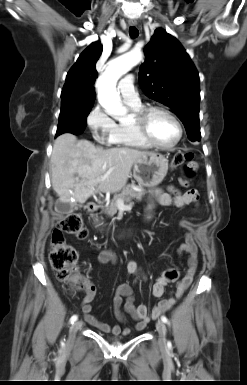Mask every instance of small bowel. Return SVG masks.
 <instances>
[{"mask_svg": "<svg viewBox=\"0 0 247 385\" xmlns=\"http://www.w3.org/2000/svg\"><path fill=\"white\" fill-rule=\"evenodd\" d=\"M167 191L168 192L160 190L157 193L158 203L162 206L180 208L190 204L197 205L199 202V194L195 189H190L182 193L175 187L168 186ZM180 225L186 229L192 228V223L188 220L181 221ZM178 254H187L188 256L184 275L180 277L179 271L176 268H170L157 279L153 285L152 292L153 295L160 298V300L151 310H149L145 304H135L133 291L129 284L123 283L118 286L113 298L114 314L120 322H125L128 317L133 319L136 322L133 327L122 329L119 325H109L97 319L92 314L91 302L95 297L96 287L86 277L89 282V289L86 291V295L82 302V310L86 321L96 329L115 336L127 335L132 330H143L150 320L158 318L162 313L170 309L190 286L198 263V249L192 232L189 231L186 233L184 243L178 248ZM97 260L100 264H115L117 262V257L111 250H102L99 253ZM126 267L130 274L146 279L145 273L134 260L128 261ZM169 283H176L174 295L169 298H161L164 294L166 285ZM124 299L125 302L123 304Z\"/></svg>", "mask_w": 247, "mask_h": 385, "instance_id": "c3829d8e", "label": "small bowel"}]
</instances>
